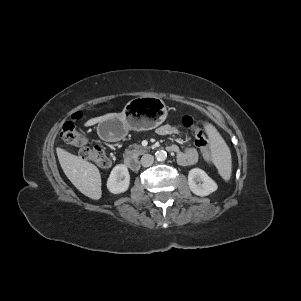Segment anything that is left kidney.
<instances>
[{
    "label": "left kidney",
    "mask_w": 301,
    "mask_h": 301,
    "mask_svg": "<svg viewBox=\"0 0 301 301\" xmlns=\"http://www.w3.org/2000/svg\"><path fill=\"white\" fill-rule=\"evenodd\" d=\"M196 180H201L202 184H197ZM188 185L190 190L198 196H208L218 188L216 182L212 180L205 171L193 168L188 174Z\"/></svg>",
    "instance_id": "left-kidney-1"
}]
</instances>
